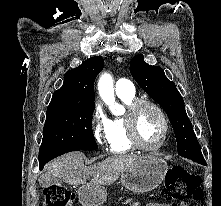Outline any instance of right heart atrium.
<instances>
[{"instance_id": "1", "label": "right heart atrium", "mask_w": 221, "mask_h": 206, "mask_svg": "<svg viewBox=\"0 0 221 206\" xmlns=\"http://www.w3.org/2000/svg\"><path fill=\"white\" fill-rule=\"evenodd\" d=\"M93 133L100 144L108 142V120L99 104H96L93 113Z\"/></svg>"}]
</instances>
